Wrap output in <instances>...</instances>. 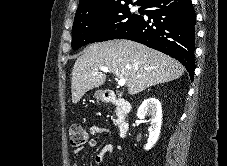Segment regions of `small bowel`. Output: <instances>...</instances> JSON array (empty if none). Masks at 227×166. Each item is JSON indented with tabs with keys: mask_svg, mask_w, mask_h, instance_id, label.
I'll list each match as a JSON object with an SVG mask.
<instances>
[{
	"mask_svg": "<svg viewBox=\"0 0 227 166\" xmlns=\"http://www.w3.org/2000/svg\"><path fill=\"white\" fill-rule=\"evenodd\" d=\"M106 131V129L100 127V126H96V125H92L89 128V133L92 136H97L101 133H104ZM97 144L96 139L91 138L89 144H87V147L89 148H93L95 147ZM82 148H77L74 151L75 156H79L81 154ZM116 152V148L113 144H107L103 147V149L101 150V152H99L97 155L94 156L93 158V162L92 164L94 165H99L102 161L105 155L107 154H114ZM75 166H79V164H75Z\"/></svg>",
	"mask_w": 227,
	"mask_h": 166,
	"instance_id": "small-bowel-1",
	"label": "small bowel"
}]
</instances>
